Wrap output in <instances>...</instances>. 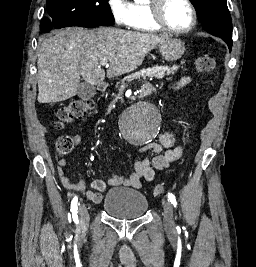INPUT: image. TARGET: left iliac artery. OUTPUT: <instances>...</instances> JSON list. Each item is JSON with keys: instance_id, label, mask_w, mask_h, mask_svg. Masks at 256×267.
Instances as JSON below:
<instances>
[{"instance_id": "obj_1", "label": "left iliac artery", "mask_w": 256, "mask_h": 267, "mask_svg": "<svg viewBox=\"0 0 256 267\" xmlns=\"http://www.w3.org/2000/svg\"><path fill=\"white\" fill-rule=\"evenodd\" d=\"M169 201L174 205V207L177 206L176 198L172 193L167 194Z\"/></svg>"}]
</instances>
